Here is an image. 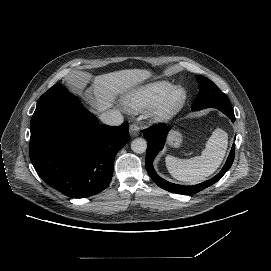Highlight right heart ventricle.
<instances>
[{"mask_svg":"<svg viewBox=\"0 0 271 271\" xmlns=\"http://www.w3.org/2000/svg\"><path fill=\"white\" fill-rule=\"evenodd\" d=\"M169 80H156L133 90L125 99L129 112L137 113L160 105L174 87Z\"/></svg>","mask_w":271,"mask_h":271,"instance_id":"1","label":"right heart ventricle"}]
</instances>
